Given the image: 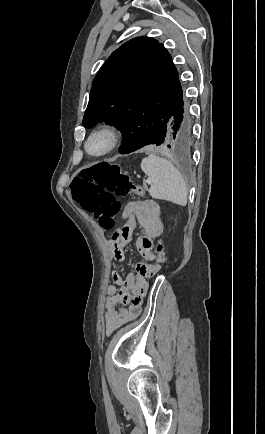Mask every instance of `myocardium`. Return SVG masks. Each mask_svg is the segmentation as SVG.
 <instances>
[{
  "label": "myocardium",
  "instance_id": "obj_1",
  "mask_svg": "<svg viewBox=\"0 0 265 434\" xmlns=\"http://www.w3.org/2000/svg\"><path fill=\"white\" fill-rule=\"evenodd\" d=\"M97 141L101 142L102 146L100 149L92 151L91 145ZM118 142V129L114 125L106 124L90 132L82 144V151L87 157L99 160L112 153L117 147Z\"/></svg>",
  "mask_w": 265,
  "mask_h": 434
}]
</instances>
